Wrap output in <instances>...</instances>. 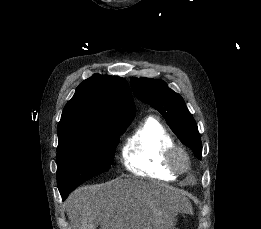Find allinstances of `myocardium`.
I'll list each match as a JSON object with an SVG mask.
<instances>
[{
	"mask_svg": "<svg viewBox=\"0 0 261 229\" xmlns=\"http://www.w3.org/2000/svg\"><path fill=\"white\" fill-rule=\"evenodd\" d=\"M166 163L178 174L186 172L191 165L187 149L181 145L172 144L167 149Z\"/></svg>",
	"mask_w": 261,
	"mask_h": 229,
	"instance_id": "obj_1",
	"label": "myocardium"
}]
</instances>
